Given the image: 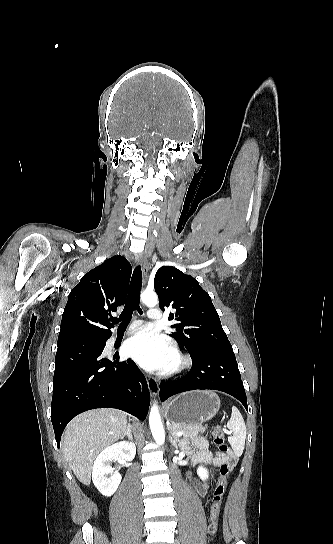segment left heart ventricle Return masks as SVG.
I'll use <instances>...</instances> for the list:
<instances>
[{"mask_svg":"<svg viewBox=\"0 0 333 544\" xmlns=\"http://www.w3.org/2000/svg\"><path fill=\"white\" fill-rule=\"evenodd\" d=\"M171 363H172V356H171V359H170V361H169V364H168V366H169V365H170Z\"/></svg>","mask_w":333,"mask_h":544,"instance_id":"obj_1","label":"left heart ventricle"}]
</instances>
